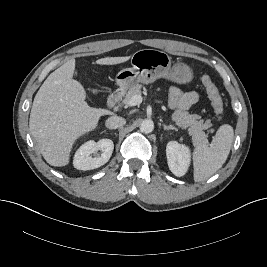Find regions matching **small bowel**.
Segmentation results:
<instances>
[{
  "label": "small bowel",
  "mask_w": 267,
  "mask_h": 267,
  "mask_svg": "<svg viewBox=\"0 0 267 267\" xmlns=\"http://www.w3.org/2000/svg\"><path fill=\"white\" fill-rule=\"evenodd\" d=\"M200 98V94L195 91L183 92L180 88L173 86L170 89V106L177 110H187Z\"/></svg>",
  "instance_id": "1"
}]
</instances>
